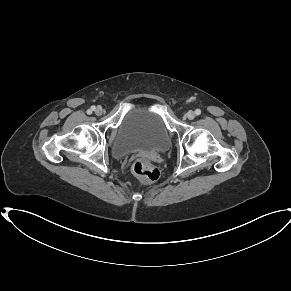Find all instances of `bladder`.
<instances>
[{"instance_id": "1", "label": "bladder", "mask_w": 291, "mask_h": 291, "mask_svg": "<svg viewBox=\"0 0 291 291\" xmlns=\"http://www.w3.org/2000/svg\"><path fill=\"white\" fill-rule=\"evenodd\" d=\"M171 142L170 131L154 108L146 104L131 109L122 120L111 152L122 157L134 152L166 150Z\"/></svg>"}]
</instances>
